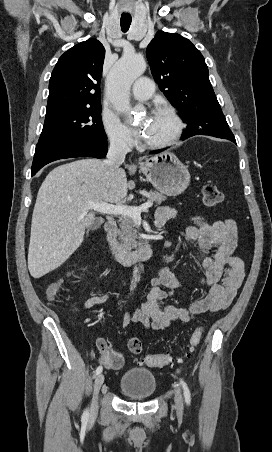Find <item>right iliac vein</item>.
Instances as JSON below:
<instances>
[{"label":"right iliac vein","instance_id":"obj_1","mask_svg":"<svg viewBox=\"0 0 272 452\" xmlns=\"http://www.w3.org/2000/svg\"><path fill=\"white\" fill-rule=\"evenodd\" d=\"M104 383V375L99 374L94 382V392H93V399L91 403V413L96 414L98 410V394L100 391L101 386Z\"/></svg>","mask_w":272,"mask_h":452}]
</instances>
